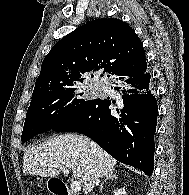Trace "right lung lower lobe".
Returning a JSON list of instances; mask_svg holds the SVG:
<instances>
[{
	"label": "right lung lower lobe",
	"mask_w": 189,
	"mask_h": 195,
	"mask_svg": "<svg viewBox=\"0 0 189 195\" xmlns=\"http://www.w3.org/2000/svg\"><path fill=\"white\" fill-rule=\"evenodd\" d=\"M114 79V89L121 92L117 104L109 97L92 100L53 130L82 133L118 161L151 176L158 107L150 73L145 66L140 71L123 70Z\"/></svg>",
	"instance_id": "1"
}]
</instances>
